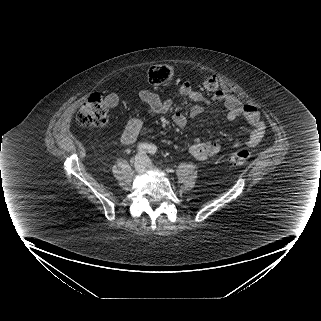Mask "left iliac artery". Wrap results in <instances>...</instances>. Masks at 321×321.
Instances as JSON below:
<instances>
[{
  "label": "left iliac artery",
  "instance_id": "1",
  "mask_svg": "<svg viewBox=\"0 0 321 321\" xmlns=\"http://www.w3.org/2000/svg\"><path fill=\"white\" fill-rule=\"evenodd\" d=\"M156 152H157V147L155 145H152L149 150V153L154 156Z\"/></svg>",
  "mask_w": 321,
  "mask_h": 321
}]
</instances>
